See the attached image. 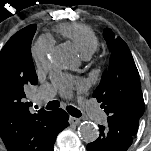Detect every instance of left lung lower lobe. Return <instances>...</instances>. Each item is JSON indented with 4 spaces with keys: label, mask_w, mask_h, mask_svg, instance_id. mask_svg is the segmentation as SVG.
<instances>
[{
    "label": "left lung lower lobe",
    "mask_w": 151,
    "mask_h": 151,
    "mask_svg": "<svg viewBox=\"0 0 151 151\" xmlns=\"http://www.w3.org/2000/svg\"><path fill=\"white\" fill-rule=\"evenodd\" d=\"M99 128V138L87 145V151H126L132 143V135L112 124Z\"/></svg>",
    "instance_id": "obj_1"
}]
</instances>
